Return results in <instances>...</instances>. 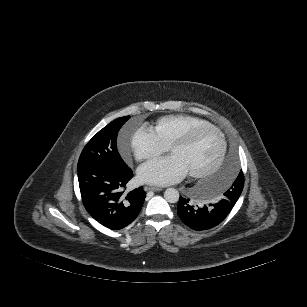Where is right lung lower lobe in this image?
<instances>
[{
  "instance_id": "right-lung-lower-lobe-1",
  "label": "right lung lower lobe",
  "mask_w": 307,
  "mask_h": 307,
  "mask_svg": "<svg viewBox=\"0 0 307 307\" xmlns=\"http://www.w3.org/2000/svg\"><path fill=\"white\" fill-rule=\"evenodd\" d=\"M132 176L129 167L122 171L104 167H89L78 171L83 205L103 226L119 230L133 222L139 214L146 197L143 188L129 193L123 190Z\"/></svg>"
}]
</instances>
